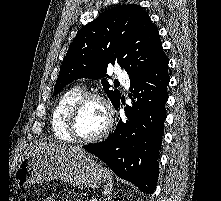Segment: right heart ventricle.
I'll return each instance as SVG.
<instances>
[{"mask_svg":"<svg viewBox=\"0 0 221 201\" xmlns=\"http://www.w3.org/2000/svg\"><path fill=\"white\" fill-rule=\"evenodd\" d=\"M84 94L81 87H73L59 98L51 116V128L55 137L65 142H72L67 131V118L74 103Z\"/></svg>","mask_w":221,"mask_h":201,"instance_id":"obj_1","label":"right heart ventricle"}]
</instances>
